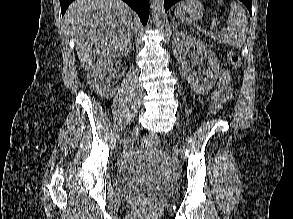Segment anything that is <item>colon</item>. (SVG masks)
Masks as SVG:
<instances>
[{
	"label": "colon",
	"mask_w": 293,
	"mask_h": 219,
	"mask_svg": "<svg viewBox=\"0 0 293 219\" xmlns=\"http://www.w3.org/2000/svg\"><path fill=\"white\" fill-rule=\"evenodd\" d=\"M229 61L234 69H238L241 66V58L236 51H231L229 53ZM221 108V102L215 101L211 104L209 112L211 115L216 114ZM159 137L156 134H149L142 139V146L144 148H149L151 146L159 144Z\"/></svg>",
	"instance_id": "1"
}]
</instances>
